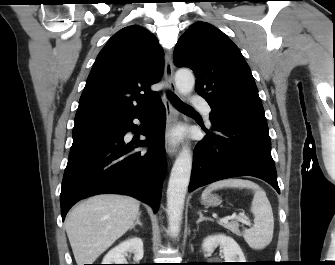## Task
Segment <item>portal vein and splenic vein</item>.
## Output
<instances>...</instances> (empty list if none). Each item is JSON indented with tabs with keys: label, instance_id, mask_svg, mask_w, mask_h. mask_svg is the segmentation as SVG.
I'll return each instance as SVG.
<instances>
[{
	"label": "portal vein and splenic vein",
	"instance_id": "1",
	"mask_svg": "<svg viewBox=\"0 0 335 265\" xmlns=\"http://www.w3.org/2000/svg\"><path fill=\"white\" fill-rule=\"evenodd\" d=\"M229 220H237L243 224H246V225H250V221L247 219V218H244V217H239V216H236L235 214L231 215V216H227V217H224L222 219V222L223 223H228Z\"/></svg>",
	"mask_w": 335,
	"mask_h": 265
}]
</instances>
